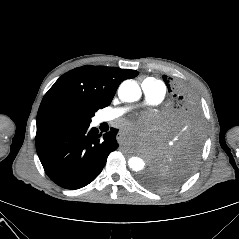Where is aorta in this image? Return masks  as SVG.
<instances>
[{
	"mask_svg": "<svg viewBox=\"0 0 239 239\" xmlns=\"http://www.w3.org/2000/svg\"><path fill=\"white\" fill-rule=\"evenodd\" d=\"M141 89L134 80H125L119 87L118 95L125 102H135L141 97ZM128 165L133 171H141L144 169L145 163L140 157H131Z\"/></svg>",
	"mask_w": 239,
	"mask_h": 239,
	"instance_id": "aorta-1",
	"label": "aorta"
}]
</instances>
